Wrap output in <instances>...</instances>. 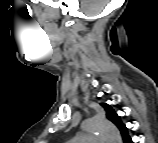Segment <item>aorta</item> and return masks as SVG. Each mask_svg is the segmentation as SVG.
Here are the masks:
<instances>
[{
	"label": "aorta",
	"mask_w": 158,
	"mask_h": 143,
	"mask_svg": "<svg viewBox=\"0 0 158 143\" xmlns=\"http://www.w3.org/2000/svg\"><path fill=\"white\" fill-rule=\"evenodd\" d=\"M82 129L89 133H100L107 143H122L117 127L101 117H93L82 124Z\"/></svg>",
	"instance_id": "762f6f07"
}]
</instances>
